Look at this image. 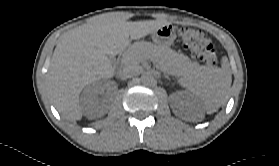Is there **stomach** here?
I'll return each instance as SVG.
<instances>
[{
	"label": "stomach",
	"instance_id": "obj_1",
	"mask_svg": "<svg viewBox=\"0 0 279 166\" xmlns=\"http://www.w3.org/2000/svg\"><path fill=\"white\" fill-rule=\"evenodd\" d=\"M175 39V29L171 24L164 25L152 33L153 42L160 47H169Z\"/></svg>",
	"mask_w": 279,
	"mask_h": 166
}]
</instances>
